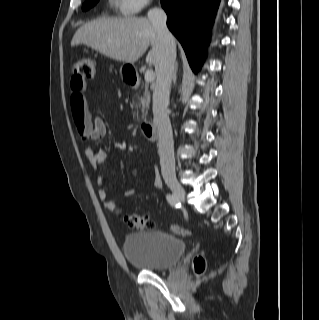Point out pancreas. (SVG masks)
I'll use <instances>...</instances> for the list:
<instances>
[{
  "mask_svg": "<svg viewBox=\"0 0 319 320\" xmlns=\"http://www.w3.org/2000/svg\"><path fill=\"white\" fill-rule=\"evenodd\" d=\"M138 102L136 103L135 107L138 110V108L141 106L142 107V116L146 117L149 105H150V93L147 88H145V92L143 96L137 97Z\"/></svg>",
  "mask_w": 319,
  "mask_h": 320,
  "instance_id": "1",
  "label": "pancreas"
}]
</instances>
